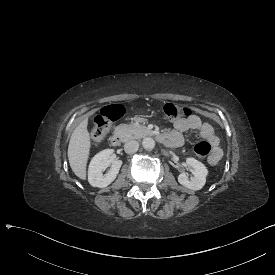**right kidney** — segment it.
<instances>
[{
  "mask_svg": "<svg viewBox=\"0 0 275 275\" xmlns=\"http://www.w3.org/2000/svg\"><path fill=\"white\" fill-rule=\"evenodd\" d=\"M113 153V149H105L92 158L88 169V182L91 186L104 188L115 180L122 165L121 160H113L108 173L105 175L102 173L106 169Z\"/></svg>",
  "mask_w": 275,
  "mask_h": 275,
  "instance_id": "1",
  "label": "right kidney"
}]
</instances>
